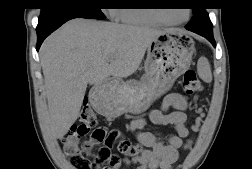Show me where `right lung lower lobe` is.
<instances>
[{
  "label": "right lung lower lobe",
  "mask_w": 252,
  "mask_h": 169,
  "mask_svg": "<svg viewBox=\"0 0 252 169\" xmlns=\"http://www.w3.org/2000/svg\"><path fill=\"white\" fill-rule=\"evenodd\" d=\"M87 18L91 19L88 17L80 16V15H65V16H60L56 18H52L48 21L38 23L36 31H37V36H38V42H37V50L39 49L40 45L42 44L43 40L54 30L59 28L62 24H64L66 21L74 19V18Z\"/></svg>",
  "instance_id": "98d812e1"
}]
</instances>
